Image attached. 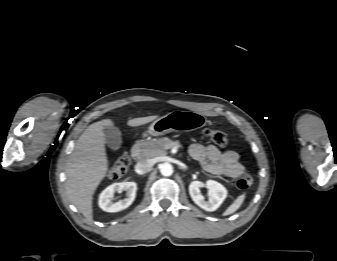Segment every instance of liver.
I'll return each mask as SVG.
<instances>
[{
	"instance_id": "obj_1",
	"label": "liver",
	"mask_w": 337,
	"mask_h": 261,
	"mask_svg": "<svg viewBox=\"0 0 337 261\" xmlns=\"http://www.w3.org/2000/svg\"><path fill=\"white\" fill-rule=\"evenodd\" d=\"M158 116L130 119V127L147 124ZM113 126L111 119L87 127L76 142L66 166V193L70 202L89 220H93V195L108 171L104 127Z\"/></svg>"
}]
</instances>
